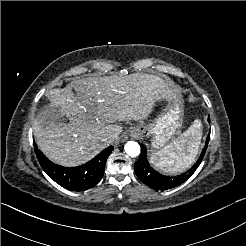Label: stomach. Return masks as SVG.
Segmentation results:
<instances>
[{"label":"stomach","instance_id":"1","mask_svg":"<svg viewBox=\"0 0 246 246\" xmlns=\"http://www.w3.org/2000/svg\"><path fill=\"white\" fill-rule=\"evenodd\" d=\"M168 104L161 114L149 124L139 125L132 131L133 136L151 138L154 148H162L181 126L182 110L179 100H173L167 91L163 94Z\"/></svg>","mask_w":246,"mask_h":246}]
</instances>
